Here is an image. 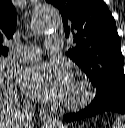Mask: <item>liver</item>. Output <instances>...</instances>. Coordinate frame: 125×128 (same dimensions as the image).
<instances>
[{
    "label": "liver",
    "instance_id": "liver-1",
    "mask_svg": "<svg viewBox=\"0 0 125 128\" xmlns=\"http://www.w3.org/2000/svg\"><path fill=\"white\" fill-rule=\"evenodd\" d=\"M20 114L15 83L0 68V128H20Z\"/></svg>",
    "mask_w": 125,
    "mask_h": 128
}]
</instances>
